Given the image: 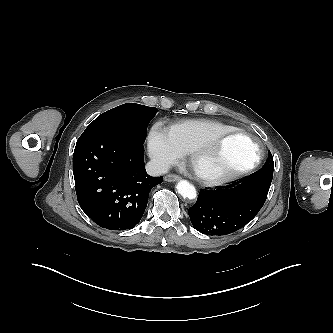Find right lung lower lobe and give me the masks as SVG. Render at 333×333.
<instances>
[{"label": "right lung lower lobe", "mask_w": 333, "mask_h": 333, "mask_svg": "<svg viewBox=\"0 0 333 333\" xmlns=\"http://www.w3.org/2000/svg\"><path fill=\"white\" fill-rule=\"evenodd\" d=\"M143 142L114 134L81 135L74 150L77 200L102 228L125 230L140 222L149 191L163 177L144 165Z\"/></svg>", "instance_id": "1"}]
</instances>
